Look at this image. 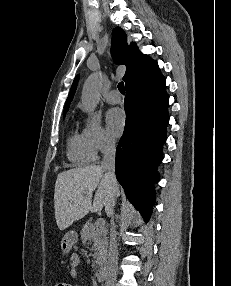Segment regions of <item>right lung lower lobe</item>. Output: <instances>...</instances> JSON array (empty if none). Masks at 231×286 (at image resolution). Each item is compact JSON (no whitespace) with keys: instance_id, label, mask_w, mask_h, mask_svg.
Instances as JSON below:
<instances>
[{"instance_id":"98d812e1","label":"right lung lower lobe","mask_w":231,"mask_h":286,"mask_svg":"<svg viewBox=\"0 0 231 286\" xmlns=\"http://www.w3.org/2000/svg\"><path fill=\"white\" fill-rule=\"evenodd\" d=\"M124 108L126 124L116 149V177L129 201L148 221L154 204L153 183L159 177L169 122L166 81L159 68L126 85Z\"/></svg>"}]
</instances>
